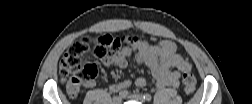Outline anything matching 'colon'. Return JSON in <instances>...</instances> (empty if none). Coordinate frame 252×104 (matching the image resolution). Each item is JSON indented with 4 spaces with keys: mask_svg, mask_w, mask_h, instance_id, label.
Wrapping results in <instances>:
<instances>
[{
    "mask_svg": "<svg viewBox=\"0 0 252 104\" xmlns=\"http://www.w3.org/2000/svg\"><path fill=\"white\" fill-rule=\"evenodd\" d=\"M143 41L140 35L113 37L109 35H91L76 41L63 55L59 73L69 95H77L80 85L96 76L94 65L84 63L85 56L105 59L117 52L124 43L132 45ZM184 92L192 95L197 88V81L191 72H184L181 77Z\"/></svg>",
    "mask_w": 252,
    "mask_h": 104,
    "instance_id": "colon-1",
    "label": "colon"
}]
</instances>
